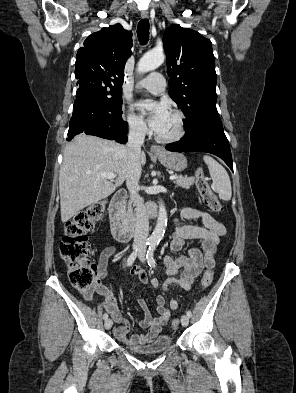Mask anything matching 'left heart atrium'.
<instances>
[{"mask_svg": "<svg viewBox=\"0 0 296 393\" xmlns=\"http://www.w3.org/2000/svg\"><path fill=\"white\" fill-rule=\"evenodd\" d=\"M137 110L147 115L150 127L159 131L166 121L169 111L165 103L152 100H142L136 104Z\"/></svg>", "mask_w": 296, "mask_h": 393, "instance_id": "39dd6f15", "label": "left heart atrium"}]
</instances>
